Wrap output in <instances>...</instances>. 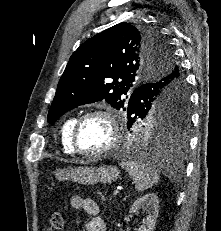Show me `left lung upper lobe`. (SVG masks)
I'll return each instance as SVG.
<instances>
[{"mask_svg":"<svg viewBox=\"0 0 221 231\" xmlns=\"http://www.w3.org/2000/svg\"><path fill=\"white\" fill-rule=\"evenodd\" d=\"M173 73L177 77L169 80L168 85L177 86L172 92H150L138 106L131 101L127 104L129 97L125 95L139 83H155ZM182 81L184 77L172 50L157 29L119 23L88 39L71 55L47 120L54 122L79 105L105 99L112 107L127 111L128 119L135 116L134 122L156 116L155 132L162 133L167 128L179 132L181 129L183 133L189 119L188 94L186 87L180 86ZM174 97L184 101L177 108L172 102Z\"/></svg>","mask_w":221,"mask_h":231,"instance_id":"1","label":"left lung upper lobe"}]
</instances>
